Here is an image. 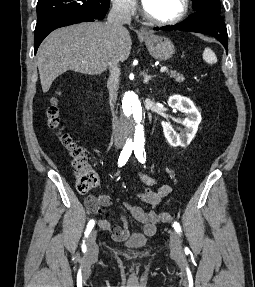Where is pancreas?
Instances as JSON below:
<instances>
[{"instance_id": "pancreas-1", "label": "pancreas", "mask_w": 255, "mask_h": 287, "mask_svg": "<svg viewBox=\"0 0 255 287\" xmlns=\"http://www.w3.org/2000/svg\"><path fill=\"white\" fill-rule=\"evenodd\" d=\"M170 78H175V82H183V74H178V72H170Z\"/></svg>"}]
</instances>
